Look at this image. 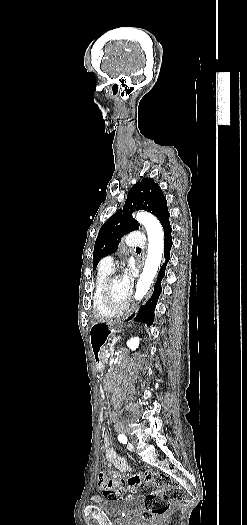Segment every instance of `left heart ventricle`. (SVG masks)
I'll use <instances>...</instances> for the list:
<instances>
[{"mask_svg":"<svg viewBox=\"0 0 247 525\" xmlns=\"http://www.w3.org/2000/svg\"><path fill=\"white\" fill-rule=\"evenodd\" d=\"M139 268L146 267L151 268L152 264H136ZM121 279H114L110 286V294L116 299L123 301L126 296H124L119 289Z\"/></svg>","mask_w":247,"mask_h":525,"instance_id":"obj_1","label":"left heart ventricle"}]
</instances>
